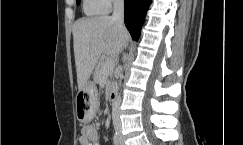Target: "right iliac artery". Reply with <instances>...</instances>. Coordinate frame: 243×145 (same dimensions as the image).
Masks as SVG:
<instances>
[{
  "instance_id": "82829eb1",
  "label": "right iliac artery",
  "mask_w": 243,
  "mask_h": 145,
  "mask_svg": "<svg viewBox=\"0 0 243 145\" xmlns=\"http://www.w3.org/2000/svg\"><path fill=\"white\" fill-rule=\"evenodd\" d=\"M113 142H114V145H119L120 144L119 133L117 131L114 133Z\"/></svg>"
}]
</instances>
